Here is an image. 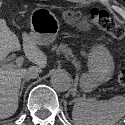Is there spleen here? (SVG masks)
I'll return each instance as SVG.
<instances>
[{
	"label": "spleen",
	"instance_id": "obj_1",
	"mask_svg": "<svg viewBox=\"0 0 125 125\" xmlns=\"http://www.w3.org/2000/svg\"><path fill=\"white\" fill-rule=\"evenodd\" d=\"M125 115V96L109 100L79 97L72 111L74 125H115Z\"/></svg>",
	"mask_w": 125,
	"mask_h": 125
}]
</instances>
